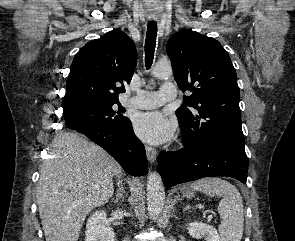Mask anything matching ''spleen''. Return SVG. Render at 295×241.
<instances>
[{"label": "spleen", "instance_id": "spleen-1", "mask_svg": "<svg viewBox=\"0 0 295 241\" xmlns=\"http://www.w3.org/2000/svg\"><path fill=\"white\" fill-rule=\"evenodd\" d=\"M191 190L203 192L208 196L222 197L218 205V213L222 219L219 225L221 241H241L243 235L244 215L243 201L238 189L221 178H204L195 181Z\"/></svg>", "mask_w": 295, "mask_h": 241}]
</instances>
